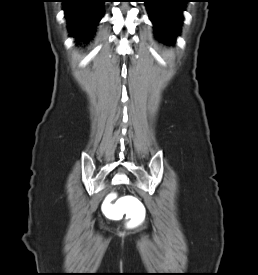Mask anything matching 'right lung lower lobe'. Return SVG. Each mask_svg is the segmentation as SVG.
I'll use <instances>...</instances> for the list:
<instances>
[{"label": "right lung lower lobe", "mask_w": 258, "mask_h": 275, "mask_svg": "<svg viewBox=\"0 0 258 275\" xmlns=\"http://www.w3.org/2000/svg\"><path fill=\"white\" fill-rule=\"evenodd\" d=\"M105 0H63L70 34L87 42L104 14Z\"/></svg>", "instance_id": "1"}]
</instances>
